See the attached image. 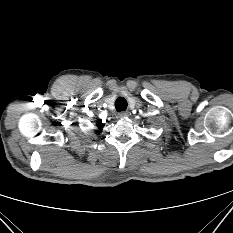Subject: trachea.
<instances>
[{
    "label": "trachea",
    "mask_w": 233,
    "mask_h": 233,
    "mask_svg": "<svg viewBox=\"0 0 233 233\" xmlns=\"http://www.w3.org/2000/svg\"><path fill=\"white\" fill-rule=\"evenodd\" d=\"M115 108L118 112L124 111L127 109V101L123 97H119L115 102Z\"/></svg>",
    "instance_id": "trachea-1"
}]
</instances>
